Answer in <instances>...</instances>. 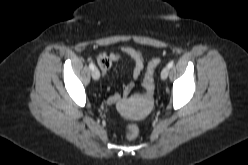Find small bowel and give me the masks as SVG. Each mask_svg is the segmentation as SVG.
Listing matches in <instances>:
<instances>
[{
  "label": "small bowel",
  "mask_w": 248,
  "mask_h": 165,
  "mask_svg": "<svg viewBox=\"0 0 248 165\" xmlns=\"http://www.w3.org/2000/svg\"><path fill=\"white\" fill-rule=\"evenodd\" d=\"M122 53L129 56L134 62V68L132 71V79L125 83L122 87V96L127 97L131 94L135 87V82L139 79L144 69V57L141 51L131 47L123 46L121 49ZM121 58L119 52H110L105 55H101L98 58V65L104 74H107L112 64ZM121 99L119 94L113 95L109 99L110 104H117Z\"/></svg>",
  "instance_id": "obj_1"
}]
</instances>
